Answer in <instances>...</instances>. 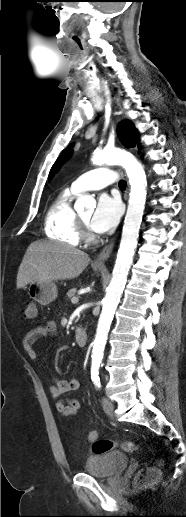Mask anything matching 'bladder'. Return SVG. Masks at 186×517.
Returning a JSON list of instances; mask_svg holds the SVG:
<instances>
[{
    "label": "bladder",
    "mask_w": 186,
    "mask_h": 517,
    "mask_svg": "<svg viewBox=\"0 0 186 517\" xmlns=\"http://www.w3.org/2000/svg\"><path fill=\"white\" fill-rule=\"evenodd\" d=\"M130 457L121 452H107L90 458L85 472L96 478H111L119 475L129 464Z\"/></svg>",
    "instance_id": "obj_1"
}]
</instances>
